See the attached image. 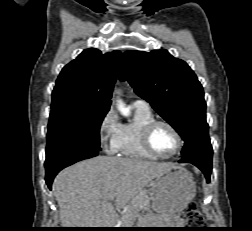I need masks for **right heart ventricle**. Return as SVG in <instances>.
I'll use <instances>...</instances> for the list:
<instances>
[{
    "instance_id": "1",
    "label": "right heart ventricle",
    "mask_w": 252,
    "mask_h": 231,
    "mask_svg": "<svg viewBox=\"0 0 252 231\" xmlns=\"http://www.w3.org/2000/svg\"><path fill=\"white\" fill-rule=\"evenodd\" d=\"M134 118L132 121L121 124L120 132L116 141V152L120 155L137 159H154L143 147L141 134L143 127L154 120L150 108L132 106Z\"/></svg>"
}]
</instances>
